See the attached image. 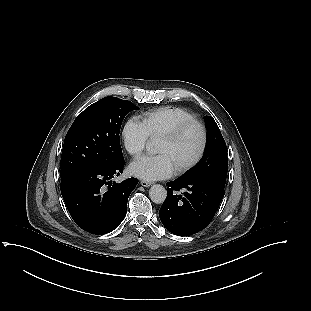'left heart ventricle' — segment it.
<instances>
[{
	"label": "left heart ventricle",
	"mask_w": 311,
	"mask_h": 311,
	"mask_svg": "<svg viewBox=\"0 0 311 311\" xmlns=\"http://www.w3.org/2000/svg\"><path fill=\"white\" fill-rule=\"evenodd\" d=\"M199 140L200 136L198 129L191 128L175 142L160 140L157 152L167 155L173 167L177 168L195 155L198 149Z\"/></svg>",
	"instance_id": "left-heart-ventricle-1"
}]
</instances>
